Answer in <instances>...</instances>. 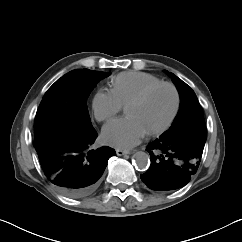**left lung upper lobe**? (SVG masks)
<instances>
[{"label":"left lung upper lobe","instance_id":"obj_1","mask_svg":"<svg viewBox=\"0 0 242 242\" xmlns=\"http://www.w3.org/2000/svg\"><path fill=\"white\" fill-rule=\"evenodd\" d=\"M171 76L180 95V109L171 127L159 138L171 142H206L207 131L201 106L194 91L173 73Z\"/></svg>","mask_w":242,"mask_h":242}]
</instances>
